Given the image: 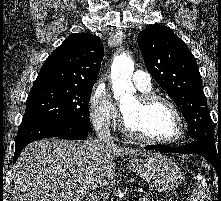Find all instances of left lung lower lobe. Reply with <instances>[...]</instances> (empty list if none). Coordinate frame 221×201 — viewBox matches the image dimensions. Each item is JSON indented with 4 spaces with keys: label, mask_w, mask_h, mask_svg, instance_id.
Returning a JSON list of instances; mask_svg holds the SVG:
<instances>
[{
    "label": "left lung lower lobe",
    "mask_w": 221,
    "mask_h": 201,
    "mask_svg": "<svg viewBox=\"0 0 221 201\" xmlns=\"http://www.w3.org/2000/svg\"><path fill=\"white\" fill-rule=\"evenodd\" d=\"M148 150H156L160 152H174V153H193L199 154L206 158L215 168L218 175H221V149L220 147H211L200 140H193L191 143L179 146L169 147L163 145H151L145 147Z\"/></svg>",
    "instance_id": "0a47b994"
}]
</instances>
